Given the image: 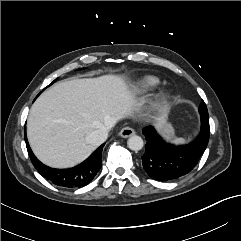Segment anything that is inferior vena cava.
I'll list each match as a JSON object with an SVG mask.
<instances>
[{
	"instance_id": "602c4592",
	"label": "inferior vena cava",
	"mask_w": 241,
	"mask_h": 241,
	"mask_svg": "<svg viewBox=\"0 0 241 241\" xmlns=\"http://www.w3.org/2000/svg\"><path fill=\"white\" fill-rule=\"evenodd\" d=\"M113 123L109 122L103 125L97 130L92 131L87 135V142L93 146H99L104 143L108 137L110 129L113 127Z\"/></svg>"
}]
</instances>
